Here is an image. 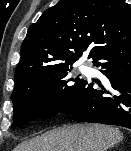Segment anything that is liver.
I'll return each mask as SVG.
<instances>
[{"label": "liver", "mask_w": 131, "mask_h": 151, "mask_svg": "<svg viewBox=\"0 0 131 151\" xmlns=\"http://www.w3.org/2000/svg\"><path fill=\"white\" fill-rule=\"evenodd\" d=\"M123 140L115 128L100 124H74L23 142L14 151H107Z\"/></svg>", "instance_id": "obj_1"}]
</instances>
